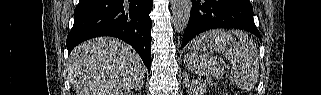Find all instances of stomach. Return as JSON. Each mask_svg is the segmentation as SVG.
<instances>
[{"mask_svg": "<svg viewBox=\"0 0 321 95\" xmlns=\"http://www.w3.org/2000/svg\"><path fill=\"white\" fill-rule=\"evenodd\" d=\"M230 41H231V38H229L228 42L230 43Z\"/></svg>", "mask_w": 321, "mask_h": 95, "instance_id": "obj_1", "label": "stomach"}]
</instances>
